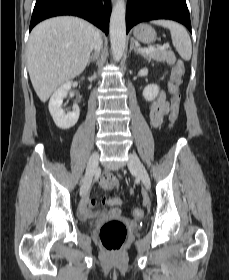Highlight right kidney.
<instances>
[{
    "mask_svg": "<svg viewBox=\"0 0 229 280\" xmlns=\"http://www.w3.org/2000/svg\"><path fill=\"white\" fill-rule=\"evenodd\" d=\"M71 89V82H65L59 87L51 96L49 101V112L57 127L63 130L73 127L80 115V109L78 105H75L73 111L64 113L62 109L63 99L67 96L68 91Z\"/></svg>",
    "mask_w": 229,
    "mask_h": 280,
    "instance_id": "obj_1",
    "label": "right kidney"
}]
</instances>
